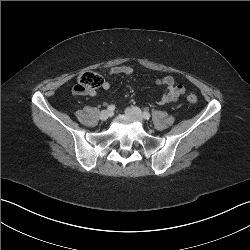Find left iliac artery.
I'll list each match as a JSON object with an SVG mask.
<instances>
[{"label":"left iliac artery","instance_id":"left-iliac-artery-1","mask_svg":"<svg viewBox=\"0 0 250 250\" xmlns=\"http://www.w3.org/2000/svg\"><path fill=\"white\" fill-rule=\"evenodd\" d=\"M143 117L145 118V119H150V113L148 112V111H144L143 112Z\"/></svg>","mask_w":250,"mask_h":250}]
</instances>
